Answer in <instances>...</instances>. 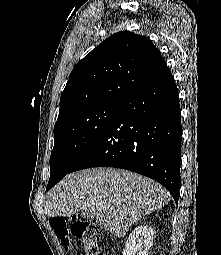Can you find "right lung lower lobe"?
Returning a JSON list of instances; mask_svg holds the SVG:
<instances>
[{"label":"right lung lower lobe","instance_id":"98d812e1","mask_svg":"<svg viewBox=\"0 0 221 255\" xmlns=\"http://www.w3.org/2000/svg\"><path fill=\"white\" fill-rule=\"evenodd\" d=\"M181 135L178 90L166 68L120 103L69 173L91 167L134 171L161 183L178 203Z\"/></svg>","mask_w":221,"mask_h":255}]
</instances>
